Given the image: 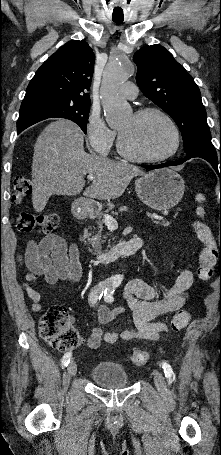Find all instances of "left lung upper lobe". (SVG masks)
Here are the masks:
<instances>
[{
	"instance_id": "left-lung-upper-lobe-1",
	"label": "left lung upper lobe",
	"mask_w": 221,
	"mask_h": 455,
	"mask_svg": "<svg viewBox=\"0 0 221 455\" xmlns=\"http://www.w3.org/2000/svg\"><path fill=\"white\" fill-rule=\"evenodd\" d=\"M133 60L139 88L175 120L185 152L196 147L214 148L200 90L185 68L160 45L142 47Z\"/></svg>"
}]
</instances>
